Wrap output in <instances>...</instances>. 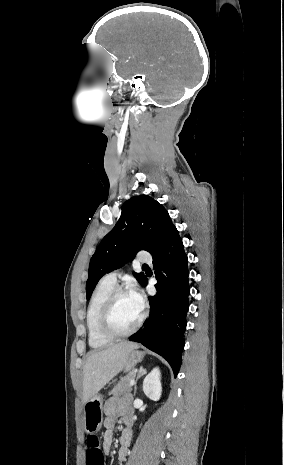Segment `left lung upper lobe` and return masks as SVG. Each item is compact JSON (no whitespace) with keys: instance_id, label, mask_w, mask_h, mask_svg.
Masks as SVG:
<instances>
[{"instance_id":"obj_1","label":"left lung upper lobe","mask_w":284,"mask_h":465,"mask_svg":"<svg viewBox=\"0 0 284 465\" xmlns=\"http://www.w3.org/2000/svg\"><path fill=\"white\" fill-rule=\"evenodd\" d=\"M176 227L167 210L148 195L134 196L122 206L115 227L102 239L89 265L87 299L100 278L132 260L140 250L152 256L160 252ZM141 284L143 273H133Z\"/></svg>"}]
</instances>
